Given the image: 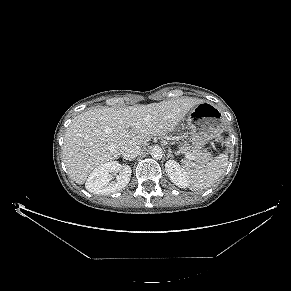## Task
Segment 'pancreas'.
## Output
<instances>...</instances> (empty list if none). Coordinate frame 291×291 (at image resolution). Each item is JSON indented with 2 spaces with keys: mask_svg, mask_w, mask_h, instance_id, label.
I'll list each match as a JSON object with an SVG mask.
<instances>
[{
  "mask_svg": "<svg viewBox=\"0 0 291 291\" xmlns=\"http://www.w3.org/2000/svg\"><path fill=\"white\" fill-rule=\"evenodd\" d=\"M180 151L183 153L188 152L192 154L193 156H195L196 162L201 165H206L211 159V154L206 149H203V147L200 146L190 148L188 144H184L180 148Z\"/></svg>",
  "mask_w": 291,
  "mask_h": 291,
  "instance_id": "1",
  "label": "pancreas"
}]
</instances>
